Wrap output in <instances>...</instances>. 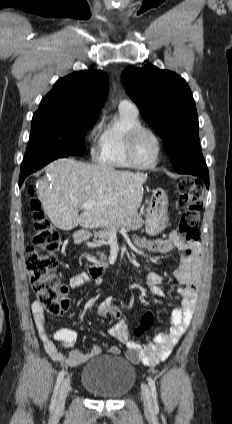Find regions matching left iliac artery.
Masks as SVG:
<instances>
[{"instance_id": "1", "label": "left iliac artery", "mask_w": 232, "mask_h": 424, "mask_svg": "<svg viewBox=\"0 0 232 424\" xmlns=\"http://www.w3.org/2000/svg\"><path fill=\"white\" fill-rule=\"evenodd\" d=\"M148 384L150 386L152 397H153V400H154V410L158 411L159 408H158V403H157L156 386H155L154 380L151 377L148 378Z\"/></svg>"}]
</instances>
